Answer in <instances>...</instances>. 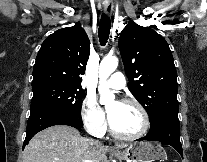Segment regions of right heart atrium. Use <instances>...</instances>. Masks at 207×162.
Listing matches in <instances>:
<instances>
[{"mask_svg": "<svg viewBox=\"0 0 207 162\" xmlns=\"http://www.w3.org/2000/svg\"><path fill=\"white\" fill-rule=\"evenodd\" d=\"M81 119L86 129L94 135L100 136L106 130L104 113L92 95H87L82 102Z\"/></svg>", "mask_w": 207, "mask_h": 162, "instance_id": "right-heart-atrium-1", "label": "right heart atrium"}]
</instances>
